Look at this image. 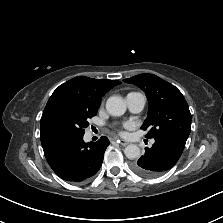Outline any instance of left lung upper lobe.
I'll list each match as a JSON object with an SVG mask.
<instances>
[{"mask_svg":"<svg viewBox=\"0 0 223 223\" xmlns=\"http://www.w3.org/2000/svg\"><path fill=\"white\" fill-rule=\"evenodd\" d=\"M141 88L148 99V116L141 129L146 138L176 135L187 140L191 131V114L181 92L160 77L143 73L123 80Z\"/></svg>","mask_w":223,"mask_h":223,"instance_id":"left-lung-upper-lobe-1","label":"left lung upper lobe"}]
</instances>
